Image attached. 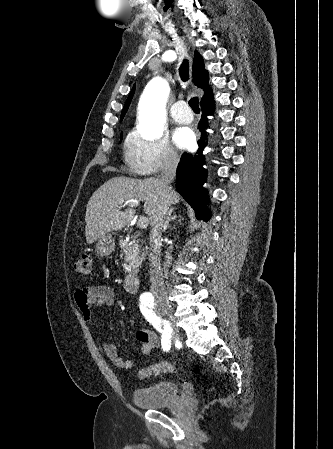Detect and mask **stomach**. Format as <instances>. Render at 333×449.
Masks as SVG:
<instances>
[{"label":"stomach","instance_id":"stomach-1","mask_svg":"<svg viewBox=\"0 0 333 449\" xmlns=\"http://www.w3.org/2000/svg\"><path fill=\"white\" fill-rule=\"evenodd\" d=\"M114 248L115 242L110 234H105L96 240L95 250L100 256L110 255Z\"/></svg>","mask_w":333,"mask_h":449}]
</instances>
